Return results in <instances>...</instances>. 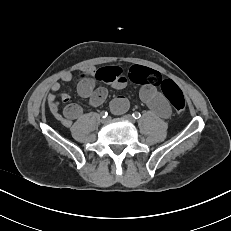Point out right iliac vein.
Segmentation results:
<instances>
[{"instance_id":"obj_1","label":"right iliac vein","mask_w":231,"mask_h":231,"mask_svg":"<svg viewBox=\"0 0 231 231\" xmlns=\"http://www.w3.org/2000/svg\"><path fill=\"white\" fill-rule=\"evenodd\" d=\"M108 120H109L108 118H106V119H103V118H102V119H101V122H102V123H106Z\"/></svg>"}]
</instances>
